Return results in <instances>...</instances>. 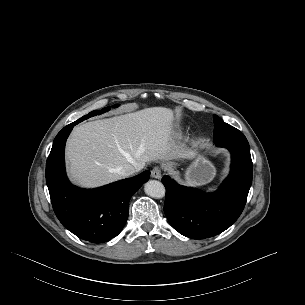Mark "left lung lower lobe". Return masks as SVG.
I'll list each match as a JSON object with an SVG mask.
<instances>
[{"instance_id": "1", "label": "left lung lower lobe", "mask_w": 305, "mask_h": 305, "mask_svg": "<svg viewBox=\"0 0 305 305\" xmlns=\"http://www.w3.org/2000/svg\"><path fill=\"white\" fill-rule=\"evenodd\" d=\"M231 152V171L214 193L177 184L163 176L166 187L164 212L173 227L194 239L212 237L229 228L240 216L252 183L250 148L222 145Z\"/></svg>"}]
</instances>
